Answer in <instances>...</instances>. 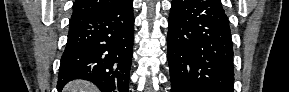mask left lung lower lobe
<instances>
[{"mask_svg": "<svg viewBox=\"0 0 289 92\" xmlns=\"http://www.w3.org/2000/svg\"><path fill=\"white\" fill-rule=\"evenodd\" d=\"M168 26L171 92H233V43L220 0H173Z\"/></svg>", "mask_w": 289, "mask_h": 92, "instance_id": "0a47b994", "label": "left lung lower lobe"}]
</instances>
